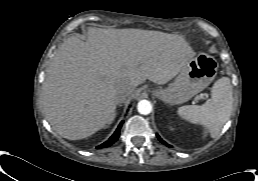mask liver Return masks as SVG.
Returning a JSON list of instances; mask_svg holds the SVG:
<instances>
[{
	"mask_svg": "<svg viewBox=\"0 0 258 181\" xmlns=\"http://www.w3.org/2000/svg\"><path fill=\"white\" fill-rule=\"evenodd\" d=\"M196 53L182 36L139 29L90 28L69 37L47 68L41 101L52 129L69 140L99 131L115 115L118 97L146 79L164 84Z\"/></svg>",
	"mask_w": 258,
	"mask_h": 181,
	"instance_id": "6515ba94",
	"label": "liver"
}]
</instances>
